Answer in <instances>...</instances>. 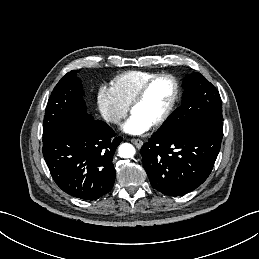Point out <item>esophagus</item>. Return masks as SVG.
Returning a JSON list of instances; mask_svg holds the SVG:
<instances>
[{
    "label": "esophagus",
    "instance_id": "esophagus-1",
    "mask_svg": "<svg viewBox=\"0 0 259 259\" xmlns=\"http://www.w3.org/2000/svg\"><path fill=\"white\" fill-rule=\"evenodd\" d=\"M131 142L138 148L140 149L143 145V141L140 139H131Z\"/></svg>",
    "mask_w": 259,
    "mask_h": 259
}]
</instances>
